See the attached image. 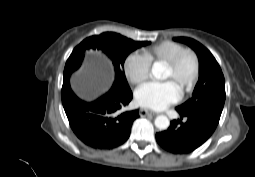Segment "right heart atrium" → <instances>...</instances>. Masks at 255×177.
I'll return each mask as SVG.
<instances>
[{"instance_id":"obj_1","label":"right heart atrium","mask_w":255,"mask_h":177,"mask_svg":"<svg viewBox=\"0 0 255 177\" xmlns=\"http://www.w3.org/2000/svg\"><path fill=\"white\" fill-rule=\"evenodd\" d=\"M151 63L143 53L129 54L123 64V70L128 80L133 84L145 81L150 73Z\"/></svg>"}]
</instances>
